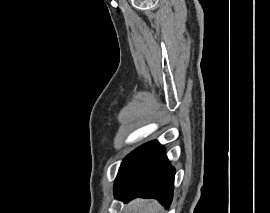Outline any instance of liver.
<instances>
[{
  "label": "liver",
  "instance_id": "1",
  "mask_svg": "<svg viewBox=\"0 0 270 213\" xmlns=\"http://www.w3.org/2000/svg\"><path fill=\"white\" fill-rule=\"evenodd\" d=\"M132 213H160V205L155 200L136 199L129 204Z\"/></svg>",
  "mask_w": 270,
  "mask_h": 213
}]
</instances>
